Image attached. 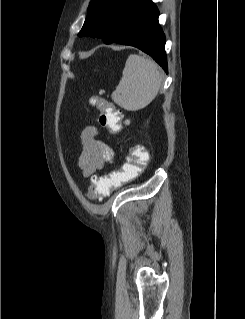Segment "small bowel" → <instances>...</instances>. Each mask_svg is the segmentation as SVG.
Here are the masks:
<instances>
[{"mask_svg":"<svg viewBox=\"0 0 245 319\" xmlns=\"http://www.w3.org/2000/svg\"><path fill=\"white\" fill-rule=\"evenodd\" d=\"M81 152L79 167L85 177H90L114 160L113 149L99 138L94 125H87L81 131Z\"/></svg>","mask_w":245,"mask_h":319,"instance_id":"small-bowel-1","label":"small bowel"}]
</instances>
